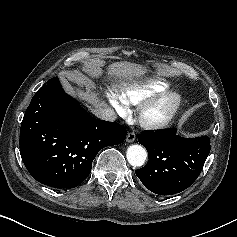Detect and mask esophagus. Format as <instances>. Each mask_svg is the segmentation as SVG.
<instances>
[{
	"label": "esophagus",
	"mask_w": 237,
	"mask_h": 237,
	"mask_svg": "<svg viewBox=\"0 0 237 237\" xmlns=\"http://www.w3.org/2000/svg\"><path fill=\"white\" fill-rule=\"evenodd\" d=\"M136 139V134L134 132H130L127 134L126 141L131 143Z\"/></svg>",
	"instance_id": "obj_1"
}]
</instances>
